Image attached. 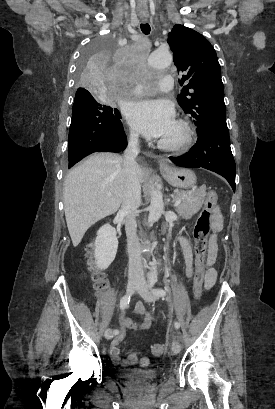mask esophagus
Masks as SVG:
<instances>
[{
    "label": "esophagus",
    "instance_id": "obj_1",
    "mask_svg": "<svg viewBox=\"0 0 275 409\" xmlns=\"http://www.w3.org/2000/svg\"><path fill=\"white\" fill-rule=\"evenodd\" d=\"M143 22H146L147 21V19L146 18H144V19H141Z\"/></svg>",
    "mask_w": 275,
    "mask_h": 409
}]
</instances>
